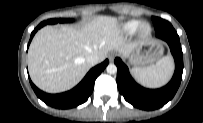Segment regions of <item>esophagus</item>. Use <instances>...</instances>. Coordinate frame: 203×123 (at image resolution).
Returning a JSON list of instances; mask_svg holds the SVG:
<instances>
[{
  "mask_svg": "<svg viewBox=\"0 0 203 123\" xmlns=\"http://www.w3.org/2000/svg\"><path fill=\"white\" fill-rule=\"evenodd\" d=\"M115 57H116V54H115V53H111V54L109 55V60L112 62Z\"/></svg>",
  "mask_w": 203,
  "mask_h": 123,
  "instance_id": "obj_1",
  "label": "esophagus"
}]
</instances>
